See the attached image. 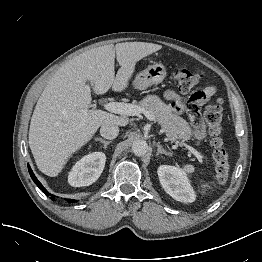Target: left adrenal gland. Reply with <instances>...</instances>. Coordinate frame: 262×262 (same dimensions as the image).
Listing matches in <instances>:
<instances>
[{
    "instance_id": "left-adrenal-gland-1",
    "label": "left adrenal gland",
    "mask_w": 262,
    "mask_h": 262,
    "mask_svg": "<svg viewBox=\"0 0 262 262\" xmlns=\"http://www.w3.org/2000/svg\"><path fill=\"white\" fill-rule=\"evenodd\" d=\"M157 154L156 156H158L159 154H165V155H168V156H171L172 154L170 152H167L161 145L160 143L158 142L157 144Z\"/></svg>"
}]
</instances>
